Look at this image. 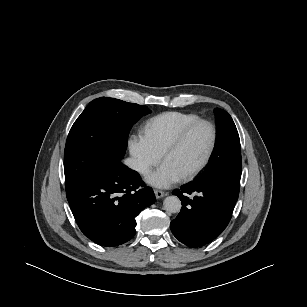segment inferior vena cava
Segmentation results:
<instances>
[{
  "mask_svg": "<svg viewBox=\"0 0 307 307\" xmlns=\"http://www.w3.org/2000/svg\"><path fill=\"white\" fill-rule=\"evenodd\" d=\"M125 164L128 165L131 169L144 172L146 170V165L134 158H128L125 160Z\"/></svg>",
  "mask_w": 307,
  "mask_h": 307,
  "instance_id": "obj_1",
  "label": "inferior vena cava"
}]
</instances>
